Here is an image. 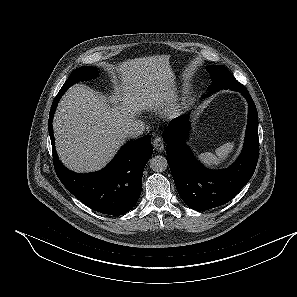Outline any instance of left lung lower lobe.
<instances>
[{
  "instance_id": "1",
  "label": "left lung lower lobe",
  "mask_w": 297,
  "mask_h": 297,
  "mask_svg": "<svg viewBox=\"0 0 297 297\" xmlns=\"http://www.w3.org/2000/svg\"><path fill=\"white\" fill-rule=\"evenodd\" d=\"M239 92L248 101V123L241 155L224 170L205 168L186 145L188 119L180 117L169 123L163 133L167 143V162L177 191L185 204L194 210H208L233 199L252 177L258 157V114L251 95Z\"/></svg>"
}]
</instances>
